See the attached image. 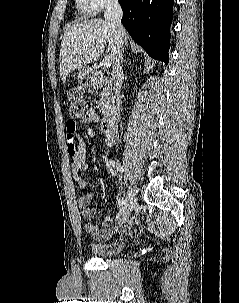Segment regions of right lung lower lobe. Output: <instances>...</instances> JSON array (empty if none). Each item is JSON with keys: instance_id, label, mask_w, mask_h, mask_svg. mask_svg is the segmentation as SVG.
<instances>
[{"instance_id": "obj_1", "label": "right lung lower lobe", "mask_w": 239, "mask_h": 303, "mask_svg": "<svg viewBox=\"0 0 239 303\" xmlns=\"http://www.w3.org/2000/svg\"><path fill=\"white\" fill-rule=\"evenodd\" d=\"M122 24L148 55L168 64L174 0H119Z\"/></svg>"}]
</instances>
